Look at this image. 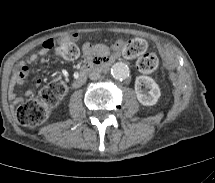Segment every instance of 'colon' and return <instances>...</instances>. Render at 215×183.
<instances>
[{"label": "colon", "mask_w": 215, "mask_h": 183, "mask_svg": "<svg viewBox=\"0 0 215 183\" xmlns=\"http://www.w3.org/2000/svg\"><path fill=\"white\" fill-rule=\"evenodd\" d=\"M49 45V44H48ZM112 48L127 59L137 58V67L143 73H152L157 70L159 61L156 55L147 54V42L141 38L113 43ZM55 54L63 59L73 60L79 55V47L68 40L55 48ZM67 87L62 80H54L43 87L37 97L31 98L18 105L15 117L19 124L34 128L43 124L60 102Z\"/></svg>", "instance_id": "1"}]
</instances>
